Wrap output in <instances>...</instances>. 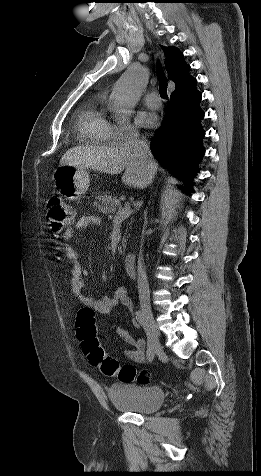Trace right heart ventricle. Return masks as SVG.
<instances>
[{
  "label": "right heart ventricle",
  "mask_w": 261,
  "mask_h": 476,
  "mask_svg": "<svg viewBox=\"0 0 261 476\" xmlns=\"http://www.w3.org/2000/svg\"><path fill=\"white\" fill-rule=\"evenodd\" d=\"M104 99V95L93 97L80 115L79 128L87 143L105 144L113 139V124L107 115Z\"/></svg>",
  "instance_id": "obj_1"
}]
</instances>
